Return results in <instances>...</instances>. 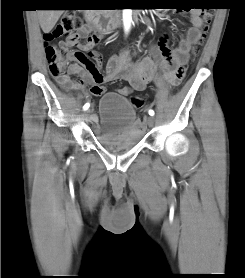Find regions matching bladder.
Wrapping results in <instances>:
<instances>
[{
  "label": "bladder",
  "instance_id": "obj_1",
  "mask_svg": "<svg viewBox=\"0 0 245 278\" xmlns=\"http://www.w3.org/2000/svg\"><path fill=\"white\" fill-rule=\"evenodd\" d=\"M98 116L96 137L102 146L128 150L142 142L144 132L138 126L135 107L125 96L105 93L100 99Z\"/></svg>",
  "mask_w": 245,
  "mask_h": 278
}]
</instances>
